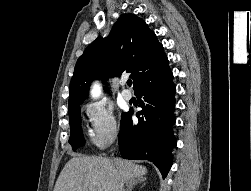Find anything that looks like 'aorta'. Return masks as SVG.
Segmentation results:
<instances>
[{
    "mask_svg": "<svg viewBox=\"0 0 251 191\" xmlns=\"http://www.w3.org/2000/svg\"><path fill=\"white\" fill-rule=\"evenodd\" d=\"M91 96L92 97L100 96V86H98V84H94V86H92Z\"/></svg>",
    "mask_w": 251,
    "mask_h": 191,
    "instance_id": "1",
    "label": "aorta"
}]
</instances>
